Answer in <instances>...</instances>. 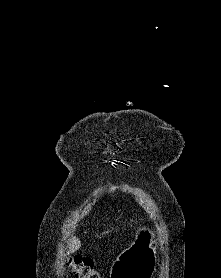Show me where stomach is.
Listing matches in <instances>:
<instances>
[{
  "mask_svg": "<svg viewBox=\"0 0 221 278\" xmlns=\"http://www.w3.org/2000/svg\"><path fill=\"white\" fill-rule=\"evenodd\" d=\"M154 233L147 227L136 231L135 239L127 251H122L113 264H109L112 278H149L154 275Z\"/></svg>",
  "mask_w": 221,
  "mask_h": 278,
  "instance_id": "1",
  "label": "stomach"
}]
</instances>
